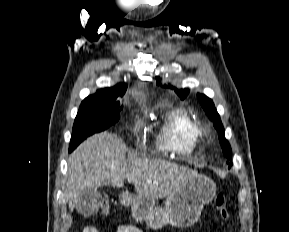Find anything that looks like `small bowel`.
<instances>
[{
    "instance_id": "1",
    "label": "small bowel",
    "mask_w": 289,
    "mask_h": 232,
    "mask_svg": "<svg viewBox=\"0 0 289 232\" xmlns=\"http://www.w3.org/2000/svg\"><path fill=\"white\" fill-rule=\"evenodd\" d=\"M83 232H99V230L94 226H86ZM117 232H143V231L134 225L122 224L117 228Z\"/></svg>"
}]
</instances>
